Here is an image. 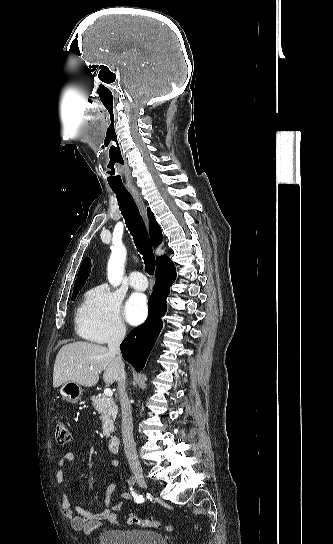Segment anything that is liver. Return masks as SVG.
I'll return each mask as SVG.
<instances>
[{
  "instance_id": "1",
  "label": "liver",
  "mask_w": 333,
  "mask_h": 544,
  "mask_svg": "<svg viewBox=\"0 0 333 544\" xmlns=\"http://www.w3.org/2000/svg\"><path fill=\"white\" fill-rule=\"evenodd\" d=\"M103 370L106 384L117 381L119 364L109 349L84 341L66 344L56 356L53 387L57 388L67 381L92 387L99 381Z\"/></svg>"
}]
</instances>
